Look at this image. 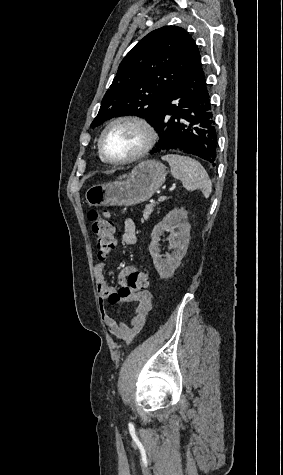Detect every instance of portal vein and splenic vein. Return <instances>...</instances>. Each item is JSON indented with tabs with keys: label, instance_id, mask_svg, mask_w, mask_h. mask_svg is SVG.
<instances>
[{
	"label": "portal vein and splenic vein",
	"instance_id": "obj_1",
	"mask_svg": "<svg viewBox=\"0 0 283 475\" xmlns=\"http://www.w3.org/2000/svg\"><path fill=\"white\" fill-rule=\"evenodd\" d=\"M163 200H165V195L164 194H160L158 196V202H163Z\"/></svg>",
	"mask_w": 283,
	"mask_h": 475
}]
</instances>
